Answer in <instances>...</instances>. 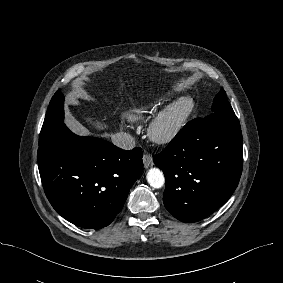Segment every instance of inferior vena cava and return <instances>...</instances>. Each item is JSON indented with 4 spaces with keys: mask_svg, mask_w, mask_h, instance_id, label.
<instances>
[{
    "mask_svg": "<svg viewBox=\"0 0 283 283\" xmlns=\"http://www.w3.org/2000/svg\"><path fill=\"white\" fill-rule=\"evenodd\" d=\"M112 143L119 148L130 150L135 147V139L126 132H119L111 136Z\"/></svg>",
    "mask_w": 283,
    "mask_h": 283,
    "instance_id": "602c4592",
    "label": "inferior vena cava"
}]
</instances>
